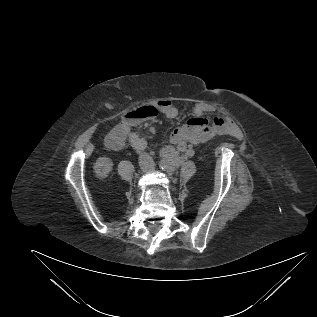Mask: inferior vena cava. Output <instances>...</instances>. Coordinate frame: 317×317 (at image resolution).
Returning <instances> with one entry per match:
<instances>
[{
    "label": "inferior vena cava",
    "mask_w": 317,
    "mask_h": 317,
    "mask_svg": "<svg viewBox=\"0 0 317 317\" xmlns=\"http://www.w3.org/2000/svg\"><path fill=\"white\" fill-rule=\"evenodd\" d=\"M139 164L143 169H151L154 167V161L148 153L140 154Z\"/></svg>",
    "instance_id": "602c4592"
}]
</instances>
